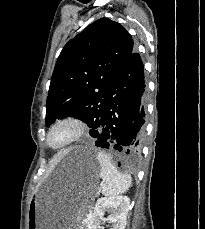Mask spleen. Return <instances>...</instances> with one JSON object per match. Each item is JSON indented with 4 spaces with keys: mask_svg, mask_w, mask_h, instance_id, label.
<instances>
[{
    "mask_svg": "<svg viewBox=\"0 0 205 229\" xmlns=\"http://www.w3.org/2000/svg\"><path fill=\"white\" fill-rule=\"evenodd\" d=\"M97 159L101 167V193L105 196L112 197L127 192L132 185L131 176L129 174L120 173L112 164L107 154L98 152Z\"/></svg>",
    "mask_w": 205,
    "mask_h": 229,
    "instance_id": "spleen-1",
    "label": "spleen"
}]
</instances>
